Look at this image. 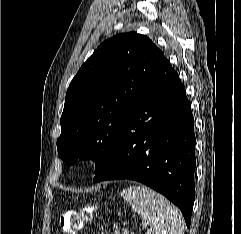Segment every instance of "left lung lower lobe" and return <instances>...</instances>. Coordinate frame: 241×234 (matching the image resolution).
I'll list each match as a JSON object with an SVG mask.
<instances>
[{
  "instance_id": "obj_1",
  "label": "left lung lower lobe",
  "mask_w": 241,
  "mask_h": 234,
  "mask_svg": "<svg viewBox=\"0 0 241 234\" xmlns=\"http://www.w3.org/2000/svg\"><path fill=\"white\" fill-rule=\"evenodd\" d=\"M196 139L184 87L164 58L131 105L93 182L131 179L162 193L191 223Z\"/></svg>"
}]
</instances>
